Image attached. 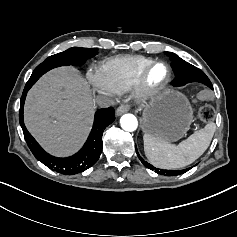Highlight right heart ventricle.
Returning a JSON list of instances; mask_svg holds the SVG:
<instances>
[{
	"label": "right heart ventricle",
	"instance_id": "1",
	"mask_svg": "<svg viewBox=\"0 0 237 237\" xmlns=\"http://www.w3.org/2000/svg\"><path fill=\"white\" fill-rule=\"evenodd\" d=\"M152 60L143 56H120L102 63L100 70L120 93L132 89Z\"/></svg>",
	"mask_w": 237,
	"mask_h": 237
}]
</instances>
